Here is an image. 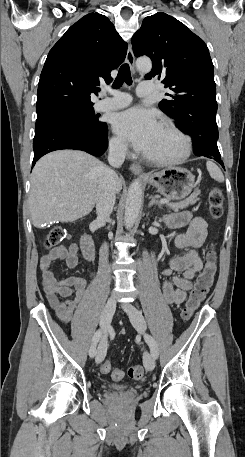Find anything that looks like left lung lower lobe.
<instances>
[{"label": "left lung lower lobe", "instance_id": "left-lung-lower-lobe-1", "mask_svg": "<svg viewBox=\"0 0 245 457\" xmlns=\"http://www.w3.org/2000/svg\"><path fill=\"white\" fill-rule=\"evenodd\" d=\"M178 128L192 137L196 156L212 158L224 168L217 147L218 128L216 115L201 113L200 115L192 116Z\"/></svg>", "mask_w": 245, "mask_h": 457}]
</instances>
